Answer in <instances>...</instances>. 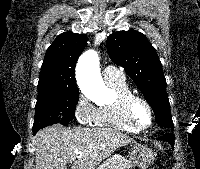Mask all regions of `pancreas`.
<instances>
[{"label":"pancreas","mask_w":200,"mask_h":169,"mask_svg":"<svg viewBox=\"0 0 200 169\" xmlns=\"http://www.w3.org/2000/svg\"><path fill=\"white\" fill-rule=\"evenodd\" d=\"M132 162L123 158H109L97 169H132Z\"/></svg>","instance_id":"cf45deb5"}]
</instances>
